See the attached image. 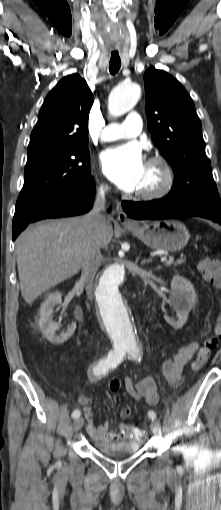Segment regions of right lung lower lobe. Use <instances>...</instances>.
<instances>
[{
    "label": "right lung lower lobe",
    "mask_w": 221,
    "mask_h": 510,
    "mask_svg": "<svg viewBox=\"0 0 221 510\" xmlns=\"http://www.w3.org/2000/svg\"><path fill=\"white\" fill-rule=\"evenodd\" d=\"M95 194V181L90 177L87 183L65 195L42 206L29 217L20 219L14 215L13 234L15 240L22 230L31 222L47 218L68 217L86 213L90 210Z\"/></svg>",
    "instance_id": "right-lung-lower-lobe-1"
}]
</instances>
